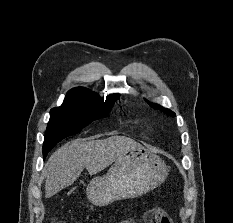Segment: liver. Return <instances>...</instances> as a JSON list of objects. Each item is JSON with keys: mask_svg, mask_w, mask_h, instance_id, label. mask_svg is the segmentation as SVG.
I'll return each instance as SVG.
<instances>
[{"mask_svg": "<svg viewBox=\"0 0 233 223\" xmlns=\"http://www.w3.org/2000/svg\"><path fill=\"white\" fill-rule=\"evenodd\" d=\"M137 145L135 139L124 135H112L107 139H74L65 143L45 163V197H52L74 183L83 169H87L89 175L99 173Z\"/></svg>", "mask_w": 233, "mask_h": 223, "instance_id": "6515ba94", "label": "liver"}]
</instances>
